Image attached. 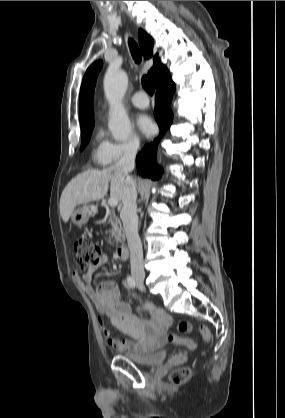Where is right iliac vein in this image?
I'll list each match as a JSON object with an SVG mask.
<instances>
[{
  "label": "right iliac vein",
  "mask_w": 285,
  "mask_h": 418,
  "mask_svg": "<svg viewBox=\"0 0 285 418\" xmlns=\"http://www.w3.org/2000/svg\"><path fill=\"white\" fill-rule=\"evenodd\" d=\"M134 278L137 282H143V279H144V277L140 275H135Z\"/></svg>",
  "instance_id": "right-iliac-vein-1"
}]
</instances>
